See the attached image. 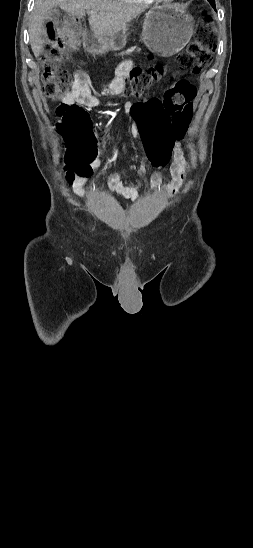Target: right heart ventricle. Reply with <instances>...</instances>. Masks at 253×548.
<instances>
[{"instance_id": "obj_1", "label": "right heart ventricle", "mask_w": 253, "mask_h": 548, "mask_svg": "<svg viewBox=\"0 0 253 548\" xmlns=\"http://www.w3.org/2000/svg\"><path fill=\"white\" fill-rule=\"evenodd\" d=\"M123 3L127 4H134V5H150L154 2V0H118Z\"/></svg>"}]
</instances>
